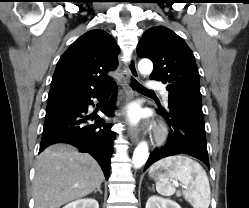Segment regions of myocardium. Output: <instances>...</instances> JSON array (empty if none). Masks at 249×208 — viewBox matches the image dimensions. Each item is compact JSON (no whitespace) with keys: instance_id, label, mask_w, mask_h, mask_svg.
I'll list each match as a JSON object with an SVG mask.
<instances>
[{"instance_id":"1","label":"myocardium","mask_w":249,"mask_h":208,"mask_svg":"<svg viewBox=\"0 0 249 208\" xmlns=\"http://www.w3.org/2000/svg\"><path fill=\"white\" fill-rule=\"evenodd\" d=\"M165 136H166V130L163 127L159 128L156 132L157 140L161 141L165 138Z\"/></svg>"}]
</instances>
